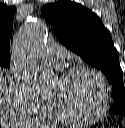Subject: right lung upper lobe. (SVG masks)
<instances>
[{
    "mask_svg": "<svg viewBox=\"0 0 125 128\" xmlns=\"http://www.w3.org/2000/svg\"><path fill=\"white\" fill-rule=\"evenodd\" d=\"M15 10L14 6L0 4V60L10 59V36Z\"/></svg>",
    "mask_w": 125,
    "mask_h": 128,
    "instance_id": "1",
    "label": "right lung upper lobe"
}]
</instances>
